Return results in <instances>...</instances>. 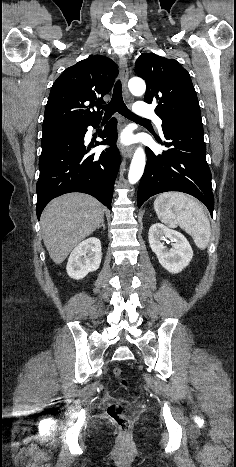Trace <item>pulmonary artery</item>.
Segmentation results:
<instances>
[{"label":"pulmonary artery","mask_w":236,"mask_h":467,"mask_svg":"<svg viewBox=\"0 0 236 467\" xmlns=\"http://www.w3.org/2000/svg\"><path fill=\"white\" fill-rule=\"evenodd\" d=\"M134 113L143 118H151L155 120L158 129L162 130V120L155 114L154 109L151 105L145 102H138L134 107Z\"/></svg>","instance_id":"pulmonary-artery-1"}]
</instances>
